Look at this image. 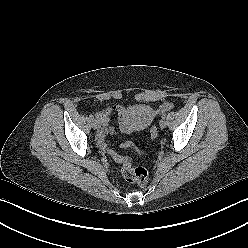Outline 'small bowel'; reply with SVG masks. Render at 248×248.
Here are the masks:
<instances>
[{
    "label": "small bowel",
    "instance_id": "obj_1",
    "mask_svg": "<svg viewBox=\"0 0 248 248\" xmlns=\"http://www.w3.org/2000/svg\"><path fill=\"white\" fill-rule=\"evenodd\" d=\"M170 107H171L170 104H165L162 106V109L168 110L170 109ZM124 111H125V108L123 106L116 105V106H109L99 111L96 114V118L99 124V129L97 132V144L101 150H106L109 145V142L106 139V136L108 134H113L115 131L114 127L109 124V117L113 113L118 112L119 114V127L122 132L126 134H130L135 131H139L138 129L133 128L126 123L124 119Z\"/></svg>",
    "mask_w": 248,
    "mask_h": 248
}]
</instances>
